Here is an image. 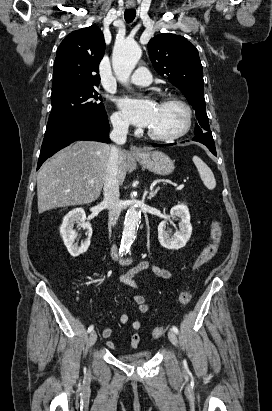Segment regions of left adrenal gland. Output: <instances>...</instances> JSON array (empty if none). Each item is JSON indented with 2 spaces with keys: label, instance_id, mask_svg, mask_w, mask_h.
Returning <instances> with one entry per match:
<instances>
[{
  "label": "left adrenal gland",
  "instance_id": "left-adrenal-gland-1",
  "mask_svg": "<svg viewBox=\"0 0 272 411\" xmlns=\"http://www.w3.org/2000/svg\"><path fill=\"white\" fill-rule=\"evenodd\" d=\"M158 191H159V188H156V189L152 190V191L149 193V196H148L147 198H148L149 200H151L152 198H154V197L156 196V194L158 193ZM145 193L147 194L148 191H146Z\"/></svg>",
  "mask_w": 272,
  "mask_h": 411
}]
</instances>
